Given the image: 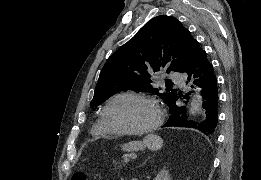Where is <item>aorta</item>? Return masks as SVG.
Here are the masks:
<instances>
[{
  "label": "aorta",
  "instance_id": "1",
  "mask_svg": "<svg viewBox=\"0 0 261 180\" xmlns=\"http://www.w3.org/2000/svg\"><path fill=\"white\" fill-rule=\"evenodd\" d=\"M196 91L197 92L193 94L190 100V107H189L190 116H195L202 107V98L201 95L199 94L200 89L197 88Z\"/></svg>",
  "mask_w": 261,
  "mask_h": 180
}]
</instances>
